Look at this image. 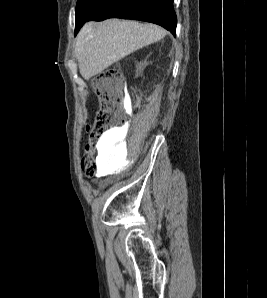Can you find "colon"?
Segmentation results:
<instances>
[{"label":"colon","mask_w":267,"mask_h":298,"mask_svg":"<svg viewBox=\"0 0 267 298\" xmlns=\"http://www.w3.org/2000/svg\"><path fill=\"white\" fill-rule=\"evenodd\" d=\"M99 107L95 120L88 127L89 141L81 161V169L85 176L93 177L98 170L97 157L103 146L108 131L125 123L122 113L123 78L116 69H108L93 81Z\"/></svg>","instance_id":"5ec220e1"}]
</instances>
